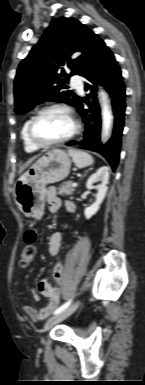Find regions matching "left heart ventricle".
I'll return each mask as SVG.
<instances>
[{
  "instance_id": "left-heart-ventricle-1",
  "label": "left heart ventricle",
  "mask_w": 145,
  "mask_h": 385,
  "mask_svg": "<svg viewBox=\"0 0 145 385\" xmlns=\"http://www.w3.org/2000/svg\"><path fill=\"white\" fill-rule=\"evenodd\" d=\"M73 130L70 118L61 111H49L41 115L34 126L35 138L43 143L66 137Z\"/></svg>"
}]
</instances>
